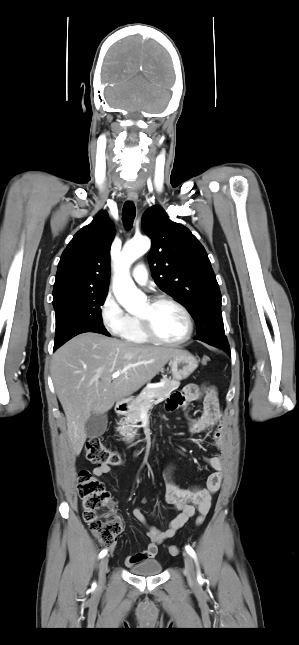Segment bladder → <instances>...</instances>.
I'll return each mask as SVG.
<instances>
[{
  "instance_id": "bladder-1",
  "label": "bladder",
  "mask_w": 299,
  "mask_h": 645,
  "mask_svg": "<svg viewBox=\"0 0 299 645\" xmlns=\"http://www.w3.org/2000/svg\"><path fill=\"white\" fill-rule=\"evenodd\" d=\"M162 565L156 559L143 561L130 567V571L135 575L150 576L157 575L161 572Z\"/></svg>"
}]
</instances>
